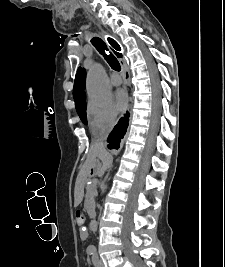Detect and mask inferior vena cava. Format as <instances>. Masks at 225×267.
I'll return each mask as SVG.
<instances>
[{"label":"inferior vena cava","mask_w":225,"mask_h":267,"mask_svg":"<svg viewBox=\"0 0 225 267\" xmlns=\"http://www.w3.org/2000/svg\"><path fill=\"white\" fill-rule=\"evenodd\" d=\"M113 124H114V123L109 124L107 128H105V129H103V130L101 131V133H100V135H99V138H98L97 141H96V143H97L99 146L105 148L104 141L107 139L108 134H109V132H110V130H111Z\"/></svg>","instance_id":"obj_1"}]
</instances>
